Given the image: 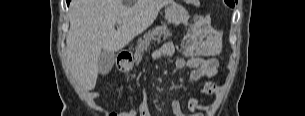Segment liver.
Returning a JSON list of instances; mask_svg holds the SVG:
<instances>
[{"label": "liver", "instance_id": "6515ba94", "mask_svg": "<svg viewBox=\"0 0 305 116\" xmlns=\"http://www.w3.org/2000/svg\"><path fill=\"white\" fill-rule=\"evenodd\" d=\"M173 0H72L66 38L67 64L84 90L94 89L103 51L118 52L149 28ZM118 20L122 23L115 30Z\"/></svg>", "mask_w": 305, "mask_h": 116}]
</instances>
